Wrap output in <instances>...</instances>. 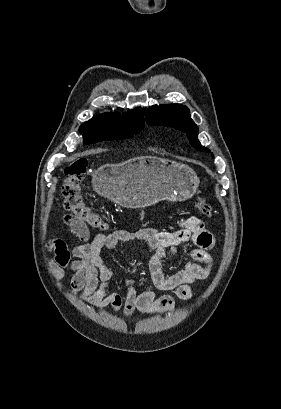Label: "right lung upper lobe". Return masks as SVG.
Here are the masks:
<instances>
[{"label": "right lung upper lobe", "instance_id": "obj_1", "mask_svg": "<svg viewBox=\"0 0 281 409\" xmlns=\"http://www.w3.org/2000/svg\"><path fill=\"white\" fill-rule=\"evenodd\" d=\"M144 125V117L141 108H135L128 113H105L85 122L81 127H130Z\"/></svg>", "mask_w": 281, "mask_h": 409}]
</instances>
